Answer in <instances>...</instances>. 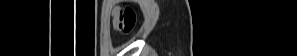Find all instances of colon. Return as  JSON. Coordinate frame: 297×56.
Segmentation results:
<instances>
[{"mask_svg":"<svg viewBox=\"0 0 297 56\" xmlns=\"http://www.w3.org/2000/svg\"><path fill=\"white\" fill-rule=\"evenodd\" d=\"M136 22V14L130 7L120 10L116 16L115 29L122 33H129L132 31Z\"/></svg>","mask_w":297,"mask_h":56,"instance_id":"5ec220e1","label":"colon"}]
</instances>
